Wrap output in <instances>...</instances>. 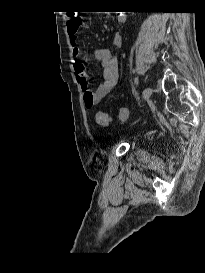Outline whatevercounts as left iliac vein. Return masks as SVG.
Listing matches in <instances>:
<instances>
[{
	"label": "left iliac vein",
	"instance_id": "left-iliac-vein-1",
	"mask_svg": "<svg viewBox=\"0 0 205 273\" xmlns=\"http://www.w3.org/2000/svg\"><path fill=\"white\" fill-rule=\"evenodd\" d=\"M152 94V90L150 87H146L144 90H143V93H142V100L143 101H146L150 98Z\"/></svg>",
	"mask_w": 205,
	"mask_h": 273
}]
</instances>
